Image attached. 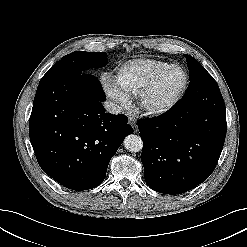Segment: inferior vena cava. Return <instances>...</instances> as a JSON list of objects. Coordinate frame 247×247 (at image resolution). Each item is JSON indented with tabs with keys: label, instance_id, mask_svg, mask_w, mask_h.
Returning a JSON list of instances; mask_svg holds the SVG:
<instances>
[{
	"label": "inferior vena cava",
	"instance_id": "1",
	"mask_svg": "<svg viewBox=\"0 0 247 247\" xmlns=\"http://www.w3.org/2000/svg\"><path fill=\"white\" fill-rule=\"evenodd\" d=\"M104 108L108 113L114 115L120 114L122 112V107L112 101H105Z\"/></svg>",
	"mask_w": 247,
	"mask_h": 247
}]
</instances>
